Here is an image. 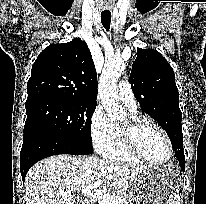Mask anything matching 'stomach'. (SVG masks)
I'll return each instance as SVG.
<instances>
[{"label": "stomach", "instance_id": "obj_1", "mask_svg": "<svg viewBox=\"0 0 206 204\" xmlns=\"http://www.w3.org/2000/svg\"><path fill=\"white\" fill-rule=\"evenodd\" d=\"M181 179L174 166L149 167L138 174L125 191L131 204H171Z\"/></svg>", "mask_w": 206, "mask_h": 204}]
</instances>
